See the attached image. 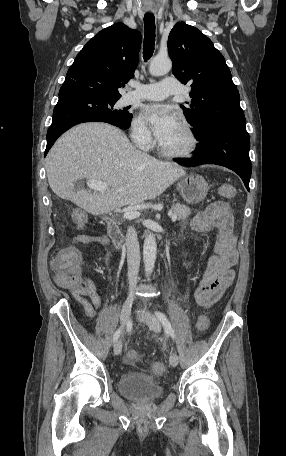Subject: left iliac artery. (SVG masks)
<instances>
[{"mask_svg":"<svg viewBox=\"0 0 286 456\" xmlns=\"http://www.w3.org/2000/svg\"><path fill=\"white\" fill-rule=\"evenodd\" d=\"M155 314H156L157 318L160 320V322L162 323V325L164 326L165 332L168 335H170L172 338H174L175 337L174 330L171 326L169 319L166 317V315L160 311H156Z\"/></svg>","mask_w":286,"mask_h":456,"instance_id":"44dca946","label":"left iliac artery"}]
</instances>
